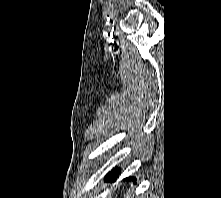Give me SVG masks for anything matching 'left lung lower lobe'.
I'll return each instance as SVG.
<instances>
[{
  "label": "left lung lower lobe",
  "instance_id": "0a47b994",
  "mask_svg": "<svg viewBox=\"0 0 221 198\" xmlns=\"http://www.w3.org/2000/svg\"><path fill=\"white\" fill-rule=\"evenodd\" d=\"M119 172L120 170L119 169H114L113 171H111L107 177H105L106 180H109V181H114L118 176H119ZM127 180H135L133 177L131 178H127Z\"/></svg>",
  "mask_w": 221,
  "mask_h": 198
}]
</instances>
